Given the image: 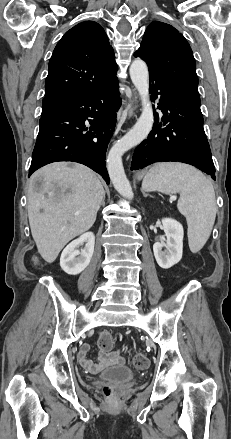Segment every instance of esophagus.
Instances as JSON below:
<instances>
[{"mask_svg":"<svg viewBox=\"0 0 231 439\" xmlns=\"http://www.w3.org/2000/svg\"><path fill=\"white\" fill-rule=\"evenodd\" d=\"M133 111H134V107L130 109L129 111V115L132 116L133 115Z\"/></svg>","mask_w":231,"mask_h":439,"instance_id":"esophagus-1","label":"esophagus"}]
</instances>
